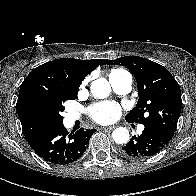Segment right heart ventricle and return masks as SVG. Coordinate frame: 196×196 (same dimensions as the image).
Here are the masks:
<instances>
[{
  "instance_id": "obj_1",
  "label": "right heart ventricle",
  "mask_w": 196,
  "mask_h": 196,
  "mask_svg": "<svg viewBox=\"0 0 196 196\" xmlns=\"http://www.w3.org/2000/svg\"><path fill=\"white\" fill-rule=\"evenodd\" d=\"M124 72L125 71L120 70V69H113V70L110 71L109 77H115V76H118V75H120Z\"/></svg>"
}]
</instances>
